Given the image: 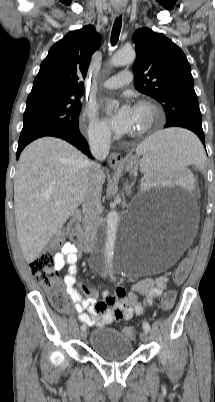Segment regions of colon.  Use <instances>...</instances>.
Masks as SVG:
<instances>
[{
    "label": "colon",
    "mask_w": 215,
    "mask_h": 402,
    "mask_svg": "<svg viewBox=\"0 0 215 402\" xmlns=\"http://www.w3.org/2000/svg\"><path fill=\"white\" fill-rule=\"evenodd\" d=\"M62 242L63 234L59 232L50 241L49 248L40 253L30 264L32 274L38 283L48 291L52 305L60 312L67 310V298L58 280L53 249L60 246ZM197 258L198 253L196 251H187L185 253V259L175 272L177 282H182L185 279L192 260H196ZM175 299V291H166L161 298L162 309L169 310L173 306ZM123 334L129 339H134L136 338L137 331L134 327L128 326L123 329Z\"/></svg>",
    "instance_id": "colon-1"
}]
</instances>
